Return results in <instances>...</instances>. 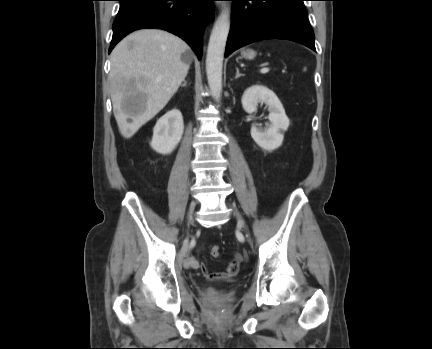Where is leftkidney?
Listing matches in <instances>:
<instances>
[{
  "instance_id": "left-kidney-1",
  "label": "left kidney",
  "mask_w": 432,
  "mask_h": 349,
  "mask_svg": "<svg viewBox=\"0 0 432 349\" xmlns=\"http://www.w3.org/2000/svg\"><path fill=\"white\" fill-rule=\"evenodd\" d=\"M241 102L248 114L254 113L259 103L268 106L270 124H267L265 130L252 125L251 137L264 150L272 151L279 148L290 121L276 94L265 86L253 85L245 90Z\"/></svg>"
}]
</instances>
